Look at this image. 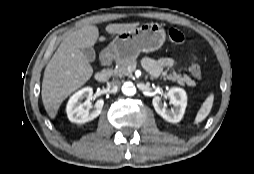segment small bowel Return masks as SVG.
<instances>
[{
	"instance_id": "obj_1",
	"label": "small bowel",
	"mask_w": 254,
	"mask_h": 174,
	"mask_svg": "<svg viewBox=\"0 0 254 174\" xmlns=\"http://www.w3.org/2000/svg\"><path fill=\"white\" fill-rule=\"evenodd\" d=\"M142 64L151 76H158L164 68L172 67L174 60L171 58L153 59L145 57Z\"/></svg>"
}]
</instances>
